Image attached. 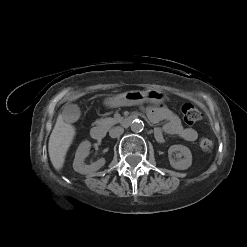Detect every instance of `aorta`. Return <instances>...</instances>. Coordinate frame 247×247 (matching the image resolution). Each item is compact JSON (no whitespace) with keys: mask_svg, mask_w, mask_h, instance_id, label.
I'll list each match as a JSON object with an SVG mask.
<instances>
[{"mask_svg":"<svg viewBox=\"0 0 247 247\" xmlns=\"http://www.w3.org/2000/svg\"><path fill=\"white\" fill-rule=\"evenodd\" d=\"M130 127L134 133H139L144 129V123L139 119H135L132 121Z\"/></svg>","mask_w":247,"mask_h":247,"instance_id":"762f6f07","label":"aorta"}]
</instances>
